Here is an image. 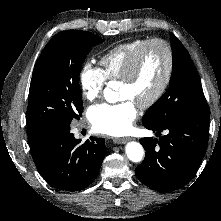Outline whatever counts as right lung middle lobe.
Returning a JSON list of instances; mask_svg holds the SVG:
<instances>
[{"label": "right lung middle lobe", "instance_id": "obj_1", "mask_svg": "<svg viewBox=\"0 0 221 221\" xmlns=\"http://www.w3.org/2000/svg\"><path fill=\"white\" fill-rule=\"evenodd\" d=\"M103 41L91 32L68 30L47 43L35 65L29 89L26 121L30 146L79 118L83 111L80 67L91 47Z\"/></svg>", "mask_w": 221, "mask_h": 221}]
</instances>
